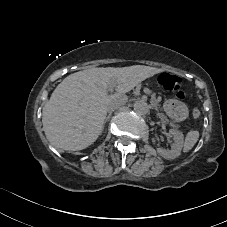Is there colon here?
Instances as JSON below:
<instances>
[{
	"label": "colon",
	"instance_id": "5ec220e1",
	"mask_svg": "<svg viewBox=\"0 0 227 227\" xmlns=\"http://www.w3.org/2000/svg\"><path fill=\"white\" fill-rule=\"evenodd\" d=\"M158 82L165 90L172 92L176 98L183 100L187 97L186 91L182 89V78L178 75L163 72L159 75ZM201 114L202 111L198 106L192 108L193 119H199Z\"/></svg>",
	"mask_w": 227,
	"mask_h": 227
}]
</instances>
